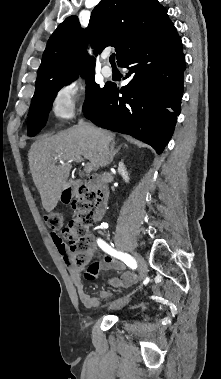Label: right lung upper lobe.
Wrapping results in <instances>:
<instances>
[{"label": "right lung upper lobe", "instance_id": "cb5924a9", "mask_svg": "<svg viewBox=\"0 0 221 379\" xmlns=\"http://www.w3.org/2000/svg\"><path fill=\"white\" fill-rule=\"evenodd\" d=\"M169 23L167 10L158 0H101L91 13L86 31L76 16L66 18L48 40L35 92L82 71L94 72V60L86 51L87 41L96 52L115 47L119 61Z\"/></svg>", "mask_w": 221, "mask_h": 379}]
</instances>
